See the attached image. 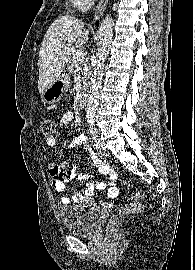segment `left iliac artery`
<instances>
[{"mask_svg": "<svg viewBox=\"0 0 195 270\" xmlns=\"http://www.w3.org/2000/svg\"><path fill=\"white\" fill-rule=\"evenodd\" d=\"M89 128H90L89 130H90V132H91V134L93 136V139L96 140V137H97L96 136V133H97L96 128L93 126V124H91Z\"/></svg>", "mask_w": 195, "mask_h": 270, "instance_id": "44dca946", "label": "left iliac artery"}]
</instances>
